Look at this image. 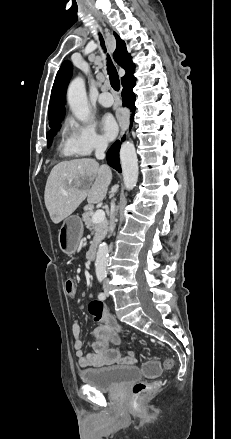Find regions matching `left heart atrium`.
Returning a JSON list of instances; mask_svg holds the SVG:
<instances>
[{
  "label": "left heart atrium",
  "instance_id": "left-heart-atrium-1",
  "mask_svg": "<svg viewBox=\"0 0 231 439\" xmlns=\"http://www.w3.org/2000/svg\"><path fill=\"white\" fill-rule=\"evenodd\" d=\"M100 126L104 133V136L108 140H112L118 132L117 122L115 121L114 117L110 114H106L102 117Z\"/></svg>",
  "mask_w": 231,
  "mask_h": 439
}]
</instances>
